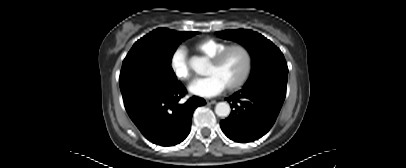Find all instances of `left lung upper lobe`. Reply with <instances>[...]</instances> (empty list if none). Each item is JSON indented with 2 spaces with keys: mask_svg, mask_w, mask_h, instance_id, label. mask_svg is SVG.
Instances as JSON below:
<instances>
[{
  "mask_svg": "<svg viewBox=\"0 0 406 168\" xmlns=\"http://www.w3.org/2000/svg\"><path fill=\"white\" fill-rule=\"evenodd\" d=\"M219 37L239 42L251 54L252 71L244 87L256 84H287L288 67L282 52L270 40L252 30H225Z\"/></svg>",
  "mask_w": 406,
  "mask_h": 168,
  "instance_id": "obj_1",
  "label": "left lung upper lobe"
}]
</instances>
